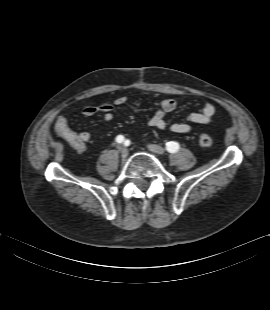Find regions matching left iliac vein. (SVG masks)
<instances>
[{"mask_svg": "<svg viewBox=\"0 0 270 310\" xmlns=\"http://www.w3.org/2000/svg\"><path fill=\"white\" fill-rule=\"evenodd\" d=\"M148 149L156 154L159 155H163L164 154V149L159 146V145H155V144H149L148 145Z\"/></svg>", "mask_w": 270, "mask_h": 310, "instance_id": "obj_1", "label": "left iliac vein"}]
</instances>
